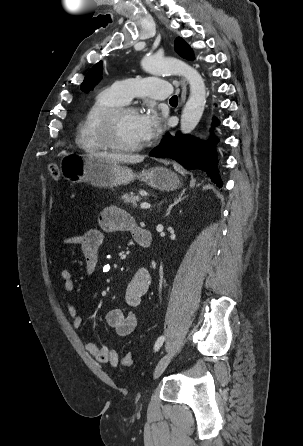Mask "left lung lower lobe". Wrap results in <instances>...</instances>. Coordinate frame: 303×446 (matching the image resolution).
I'll list each match as a JSON object with an SVG mask.
<instances>
[{
    "mask_svg": "<svg viewBox=\"0 0 303 446\" xmlns=\"http://www.w3.org/2000/svg\"><path fill=\"white\" fill-rule=\"evenodd\" d=\"M218 124L219 121L213 118V125ZM217 142V138L213 142H202L192 136L182 135L180 132L175 137L166 134L160 145L153 149L151 156L169 157L186 169L203 170L217 186L222 187L223 183L217 170L218 160L215 149Z\"/></svg>",
    "mask_w": 303,
    "mask_h": 446,
    "instance_id": "obj_1",
    "label": "left lung lower lobe"
}]
</instances>
